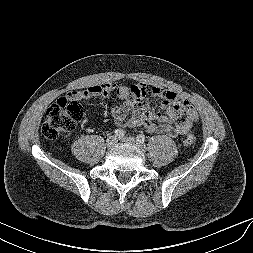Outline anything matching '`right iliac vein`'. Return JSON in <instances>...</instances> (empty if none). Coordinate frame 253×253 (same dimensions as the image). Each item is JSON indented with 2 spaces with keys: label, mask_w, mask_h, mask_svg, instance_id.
I'll return each instance as SVG.
<instances>
[{
  "label": "right iliac vein",
  "mask_w": 253,
  "mask_h": 253,
  "mask_svg": "<svg viewBox=\"0 0 253 253\" xmlns=\"http://www.w3.org/2000/svg\"><path fill=\"white\" fill-rule=\"evenodd\" d=\"M117 143V138L115 136H109L106 140V144L108 147H112Z\"/></svg>",
  "instance_id": "1"
}]
</instances>
